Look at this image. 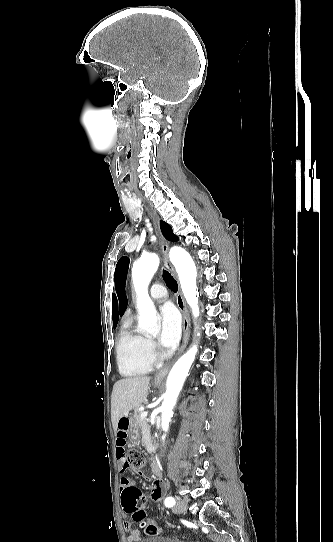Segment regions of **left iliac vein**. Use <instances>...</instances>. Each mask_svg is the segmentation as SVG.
<instances>
[{"label": "left iliac vein", "instance_id": "1", "mask_svg": "<svg viewBox=\"0 0 333 542\" xmlns=\"http://www.w3.org/2000/svg\"><path fill=\"white\" fill-rule=\"evenodd\" d=\"M174 510L177 513H187L188 511V503L186 500H179L174 506Z\"/></svg>", "mask_w": 333, "mask_h": 542}]
</instances>
